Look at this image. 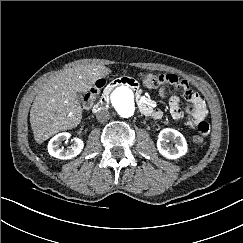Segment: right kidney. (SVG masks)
I'll list each match as a JSON object with an SVG mask.
<instances>
[{
    "label": "right kidney",
    "mask_w": 243,
    "mask_h": 243,
    "mask_svg": "<svg viewBox=\"0 0 243 243\" xmlns=\"http://www.w3.org/2000/svg\"><path fill=\"white\" fill-rule=\"evenodd\" d=\"M71 134L63 132L55 135L48 143V152L58 159H71L79 155L84 147V143L79 138H74L73 143L67 149L60 148L62 141L68 140Z\"/></svg>",
    "instance_id": "1"
}]
</instances>
